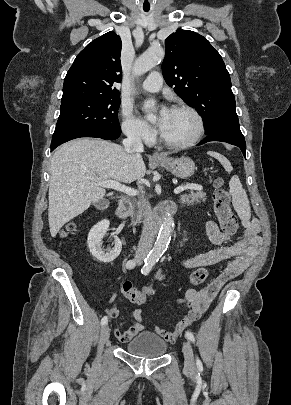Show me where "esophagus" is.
<instances>
[{
    "label": "esophagus",
    "instance_id": "obj_1",
    "mask_svg": "<svg viewBox=\"0 0 291 405\" xmlns=\"http://www.w3.org/2000/svg\"><path fill=\"white\" fill-rule=\"evenodd\" d=\"M152 157H153V159H162V158H163V155H161V154L158 153V152H155V153H153Z\"/></svg>",
    "mask_w": 291,
    "mask_h": 405
}]
</instances>
